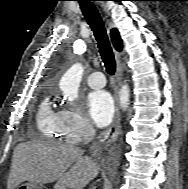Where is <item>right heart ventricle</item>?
I'll use <instances>...</instances> for the list:
<instances>
[{"instance_id": "e07e8e85", "label": "right heart ventricle", "mask_w": 188, "mask_h": 189, "mask_svg": "<svg viewBox=\"0 0 188 189\" xmlns=\"http://www.w3.org/2000/svg\"><path fill=\"white\" fill-rule=\"evenodd\" d=\"M36 122L39 132L47 139H59L64 135L59 112L52 108L49 97L41 101Z\"/></svg>"}]
</instances>
